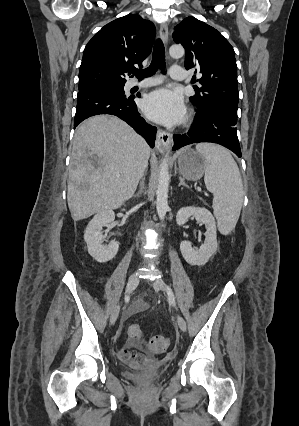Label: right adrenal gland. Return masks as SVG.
Returning <instances> with one entry per match:
<instances>
[{
  "label": "right adrenal gland",
  "instance_id": "right-adrenal-gland-1",
  "mask_svg": "<svg viewBox=\"0 0 299 426\" xmlns=\"http://www.w3.org/2000/svg\"><path fill=\"white\" fill-rule=\"evenodd\" d=\"M144 179H145V178H143V179H142V181H141V184H140V185H141L140 190H139L136 194H134V195H133V197H134V198L139 197V196H140V194L142 193Z\"/></svg>",
  "mask_w": 299,
  "mask_h": 426
}]
</instances>
